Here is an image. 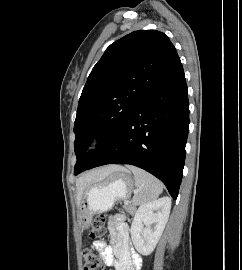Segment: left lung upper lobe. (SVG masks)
Wrapping results in <instances>:
<instances>
[{
  "mask_svg": "<svg viewBox=\"0 0 242 270\" xmlns=\"http://www.w3.org/2000/svg\"><path fill=\"white\" fill-rule=\"evenodd\" d=\"M178 58L169 38L156 30L132 32L111 44L92 69L74 123V174L88 169L141 105L160 75ZM97 149L86 153L94 135Z\"/></svg>",
  "mask_w": 242,
  "mask_h": 270,
  "instance_id": "1",
  "label": "left lung upper lobe"
}]
</instances>
